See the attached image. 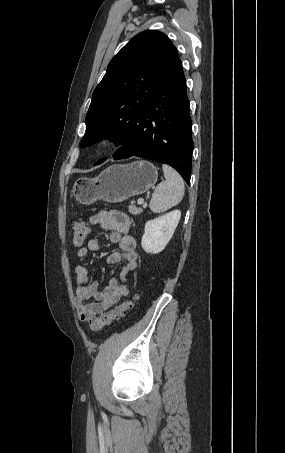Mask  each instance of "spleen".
<instances>
[{"instance_id":"spleen-1","label":"spleen","mask_w":285,"mask_h":453,"mask_svg":"<svg viewBox=\"0 0 285 453\" xmlns=\"http://www.w3.org/2000/svg\"><path fill=\"white\" fill-rule=\"evenodd\" d=\"M165 181L161 182L152 195L149 208L154 213L167 211L181 202L184 196V181L170 166L163 165Z\"/></svg>"}]
</instances>
